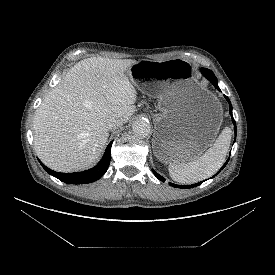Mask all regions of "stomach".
<instances>
[{
	"label": "stomach",
	"mask_w": 275,
	"mask_h": 275,
	"mask_svg": "<svg viewBox=\"0 0 275 275\" xmlns=\"http://www.w3.org/2000/svg\"><path fill=\"white\" fill-rule=\"evenodd\" d=\"M127 73L137 88L153 90L158 97L160 113L155 115L152 144L160 161H193L212 146L221 126L222 107L195 81L187 60H140Z\"/></svg>",
	"instance_id": "0dacf381"
}]
</instances>
